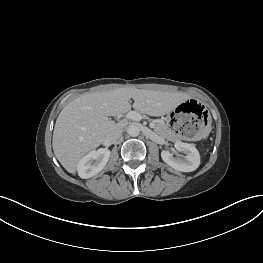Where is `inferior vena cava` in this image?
Returning <instances> with one entry per match:
<instances>
[{
	"label": "inferior vena cava",
	"instance_id": "1",
	"mask_svg": "<svg viewBox=\"0 0 263 263\" xmlns=\"http://www.w3.org/2000/svg\"><path fill=\"white\" fill-rule=\"evenodd\" d=\"M122 131L123 128L121 126H116L109 132L107 138L112 142H116L121 137Z\"/></svg>",
	"mask_w": 263,
	"mask_h": 263
}]
</instances>
